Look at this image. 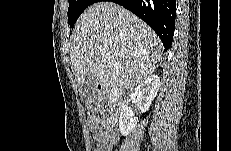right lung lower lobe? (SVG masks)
Segmentation results:
<instances>
[{"label":"right lung lower lobe","mask_w":231,"mask_h":151,"mask_svg":"<svg viewBox=\"0 0 231 151\" xmlns=\"http://www.w3.org/2000/svg\"><path fill=\"white\" fill-rule=\"evenodd\" d=\"M117 3L146 22L159 36L165 50L172 44L176 0H111ZM97 2H99L97 0Z\"/></svg>","instance_id":"right-lung-lower-lobe-1"}]
</instances>
